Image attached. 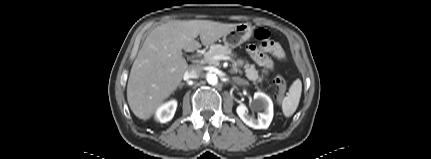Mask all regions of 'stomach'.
<instances>
[{"mask_svg":"<svg viewBox=\"0 0 431 159\" xmlns=\"http://www.w3.org/2000/svg\"><path fill=\"white\" fill-rule=\"evenodd\" d=\"M253 32V28L248 23H240L233 27L223 36V42L226 46L235 48L247 41Z\"/></svg>","mask_w":431,"mask_h":159,"instance_id":"obj_1","label":"stomach"}]
</instances>
